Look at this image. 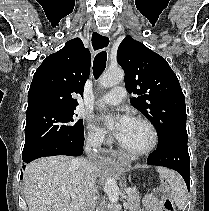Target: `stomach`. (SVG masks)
Returning a JSON list of instances; mask_svg holds the SVG:
<instances>
[{
  "mask_svg": "<svg viewBox=\"0 0 209 211\" xmlns=\"http://www.w3.org/2000/svg\"><path fill=\"white\" fill-rule=\"evenodd\" d=\"M129 166V161L126 159H121L120 160V169H121V173L124 174L125 170L127 169V167Z\"/></svg>",
  "mask_w": 209,
  "mask_h": 211,
  "instance_id": "1",
  "label": "stomach"
}]
</instances>
